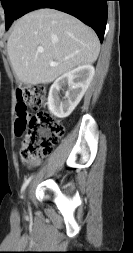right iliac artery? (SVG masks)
<instances>
[{
	"label": "right iliac artery",
	"mask_w": 133,
	"mask_h": 253,
	"mask_svg": "<svg viewBox=\"0 0 133 253\" xmlns=\"http://www.w3.org/2000/svg\"><path fill=\"white\" fill-rule=\"evenodd\" d=\"M33 176H30L29 178H27L24 182V184L22 185V188H21V192L23 193L26 189V187L28 186L29 182L31 181Z\"/></svg>",
	"instance_id": "obj_1"
}]
</instances>
